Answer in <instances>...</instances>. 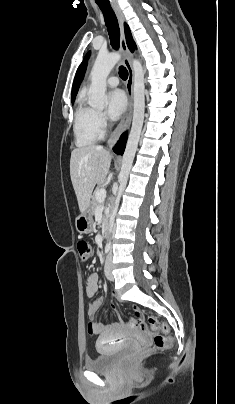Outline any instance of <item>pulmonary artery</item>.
I'll list each match as a JSON object with an SVG mask.
<instances>
[{
    "label": "pulmonary artery",
    "mask_w": 235,
    "mask_h": 404,
    "mask_svg": "<svg viewBox=\"0 0 235 404\" xmlns=\"http://www.w3.org/2000/svg\"><path fill=\"white\" fill-rule=\"evenodd\" d=\"M107 84L110 87H116L119 84V80L116 76H111L107 79Z\"/></svg>",
    "instance_id": "e3ab8cb5"
}]
</instances>
